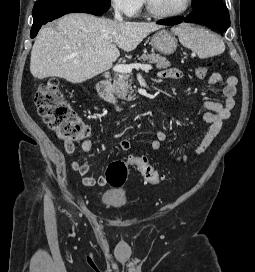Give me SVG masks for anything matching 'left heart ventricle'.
<instances>
[{"label": "left heart ventricle", "mask_w": 255, "mask_h": 272, "mask_svg": "<svg viewBox=\"0 0 255 272\" xmlns=\"http://www.w3.org/2000/svg\"><path fill=\"white\" fill-rule=\"evenodd\" d=\"M151 3L159 12H174L183 8L186 0H151Z\"/></svg>", "instance_id": "1"}]
</instances>
